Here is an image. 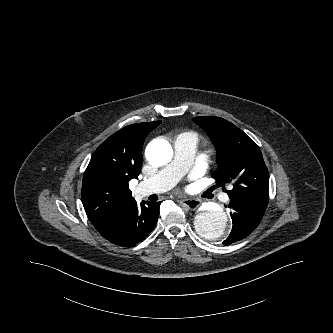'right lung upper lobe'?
I'll list each match as a JSON object with an SVG mask.
<instances>
[{"instance_id":"right-lung-upper-lobe-1","label":"right lung upper lobe","mask_w":333,"mask_h":333,"mask_svg":"<svg viewBox=\"0 0 333 333\" xmlns=\"http://www.w3.org/2000/svg\"><path fill=\"white\" fill-rule=\"evenodd\" d=\"M161 121L126 126L106 139L93 153L84 172L82 203L95 228L132 203L128 187L142 167V148L147 135Z\"/></svg>"}]
</instances>
